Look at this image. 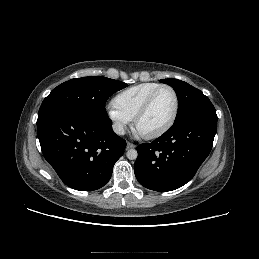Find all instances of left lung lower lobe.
I'll return each mask as SVG.
<instances>
[{"label":"left lung lower lobe","mask_w":259,"mask_h":259,"mask_svg":"<svg viewBox=\"0 0 259 259\" xmlns=\"http://www.w3.org/2000/svg\"><path fill=\"white\" fill-rule=\"evenodd\" d=\"M217 118L190 116L174 124L151 143L137 147L134 172L139 183L167 192L189 182L209 155Z\"/></svg>","instance_id":"obj_1"}]
</instances>
